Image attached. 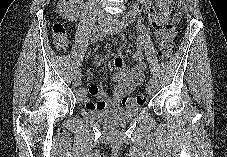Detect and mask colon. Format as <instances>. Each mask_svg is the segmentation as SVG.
Masks as SVG:
<instances>
[{
    "label": "colon",
    "instance_id": "obj_1",
    "mask_svg": "<svg viewBox=\"0 0 227 157\" xmlns=\"http://www.w3.org/2000/svg\"><path fill=\"white\" fill-rule=\"evenodd\" d=\"M183 14V0H171V16L173 19V24L169 25L168 32L172 35L174 30V24H177ZM52 37L56 48L59 51H64L68 44V36L65 27L61 23H54L52 27ZM173 51V43L171 37L164 38L160 45L158 54L162 60H167L171 57ZM145 97L143 95H136L132 97H126L123 99L124 106H138L145 102Z\"/></svg>",
    "mask_w": 227,
    "mask_h": 157
}]
</instances>
